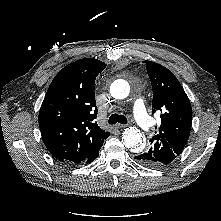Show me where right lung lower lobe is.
<instances>
[{"mask_svg":"<svg viewBox=\"0 0 221 221\" xmlns=\"http://www.w3.org/2000/svg\"><path fill=\"white\" fill-rule=\"evenodd\" d=\"M99 155V151L96 152L94 155H92L91 157H89L87 160H86V163H90L92 162L93 160H95Z\"/></svg>","mask_w":221,"mask_h":221,"instance_id":"98d812e1","label":"right lung lower lobe"}]
</instances>
